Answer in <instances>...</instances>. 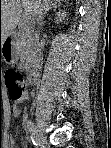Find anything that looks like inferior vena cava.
<instances>
[{
    "mask_svg": "<svg viewBox=\"0 0 111 148\" xmlns=\"http://www.w3.org/2000/svg\"><path fill=\"white\" fill-rule=\"evenodd\" d=\"M49 6V0H45L43 6H39L34 12V28L32 31V50L36 55L40 51V28L42 25L43 10H46Z\"/></svg>",
    "mask_w": 111,
    "mask_h": 148,
    "instance_id": "1",
    "label": "inferior vena cava"
}]
</instances>
